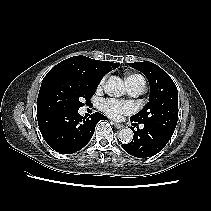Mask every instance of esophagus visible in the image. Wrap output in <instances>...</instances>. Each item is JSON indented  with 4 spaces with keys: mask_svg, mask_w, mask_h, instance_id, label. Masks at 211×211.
Here are the masks:
<instances>
[{
    "mask_svg": "<svg viewBox=\"0 0 211 211\" xmlns=\"http://www.w3.org/2000/svg\"><path fill=\"white\" fill-rule=\"evenodd\" d=\"M111 123H112L116 128H118V129H121V128L124 127L123 124H120V123H117V122H114V121H111Z\"/></svg>",
    "mask_w": 211,
    "mask_h": 211,
    "instance_id": "34e87169",
    "label": "esophagus"
}]
</instances>
